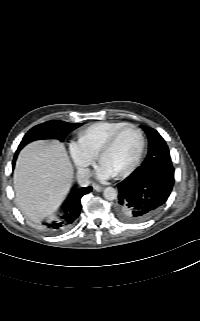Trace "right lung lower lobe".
<instances>
[{"label": "right lung lower lobe", "instance_id": "98d812e1", "mask_svg": "<svg viewBox=\"0 0 200 321\" xmlns=\"http://www.w3.org/2000/svg\"><path fill=\"white\" fill-rule=\"evenodd\" d=\"M18 152L19 151L17 150L13 159V168ZM91 191V186L85 188L72 189L71 193L69 194L66 200L62 213L58 216V218L47 223L46 229L51 233H57L69 228L80 214V211L82 209L81 198Z\"/></svg>", "mask_w": 200, "mask_h": 321}]
</instances>
